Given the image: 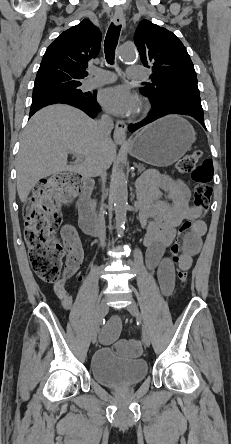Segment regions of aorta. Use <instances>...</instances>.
I'll list each match as a JSON object with an SVG mask.
<instances>
[{
	"label": "aorta",
	"mask_w": 231,
	"mask_h": 444,
	"mask_svg": "<svg viewBox=\"0 0 231 444\" xmlns=\"http://www.w3.org/2000/svg\"><path fill=\"white\" fill-rule=\"evenodd\" d=\"M119 58L125 62H132L137 55L133 48L122 46L118 52ZM128 178L121 164H117L113 172V198L118 234L123 233L128 209Z\"/></svg>",
	"instance_id": "1"
}]
</instances>
